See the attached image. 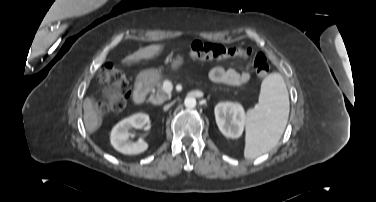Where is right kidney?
<instances>
[{
	"label": "right kidney",
	"instance_id": "obj_1",
	"mask_svg": "<svg viewBox=\"0 0 376 202\" xmlns=\"http://www.w3.org/2000/svg\"><path fill=\"white\" fill-rule=\"evenodd\" d=\"M149 122V115L145 113L133 114L119 123H117L110 135V141L112 146L119 152L127 155H136L144 152L148 148V144L139 140L135 143L129 141L132 128H143Z\"/></svg>",
	"mask_w": 376,
	"mask_h": 202
}]
</instances>
